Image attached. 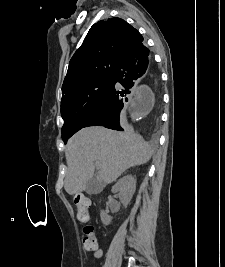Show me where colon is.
<instances>
[{"mask_svg":"<svg viewBox=\"0 0 225 267\" xmlns=\"http://www.w3.org/2000/svg\"><path fill=\"white\" fill-rule=\"evenodd\" d=\"M75 203L78 208L77 218L81 223L84 224L83 229H82L83 247L86 250H93L97 245V241L95 237V228L90 222L91 217L88 211L90 202L88 198L84 196H78L75 200Z\"/></svg>","mask_w":225,"mask_h":267,"instance_id":"1","label":"colon"}]
</instances>
